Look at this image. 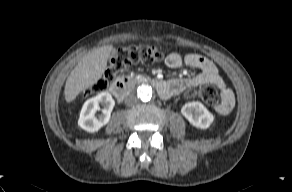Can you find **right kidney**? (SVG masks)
<instances>
[{"label": "right kidney", "instance_id": "1", "mask_svg": "<svg viewBox=\"0 0 292 192\" xmlns=\"http://www.w3.org/2000/svg\"><path fill=\"white\" fill-rule=\"evenodd\" d=\"M103 106L102 114L96 116V112ZM115 101L109 92H101L97 96L88 99L82 106L78 125L88 132H96L106 125L111 117Z\"/></svg>", "mask_w": 292, "mask_h": 192}]
</instances>
